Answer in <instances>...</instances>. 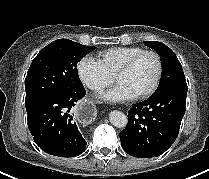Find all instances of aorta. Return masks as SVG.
I'll use <instances>...</instances> for the list:
<instances>
[{"instance_id": "obj_1", "label": "aorta", "mask_w": 209, "mask_h": 179, "mask_svg": "<svg viewBox=\"0 0 209 179\" xmlns=\"http://www.w3.org/2000/svg\"><path fill=\"white\" fill-rule=\"evenodd\" d=\"M109 120L112 125L118 128H123L127 125V116L121 111H112L109 114Z\"/></svg>"}]
</instances>
